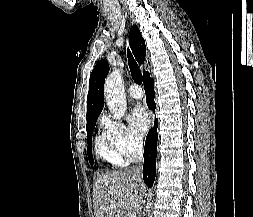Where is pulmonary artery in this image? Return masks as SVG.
<instances>
[{"label":"pulmonary artery","instance_id":"obj_1","mask_svg":"<svg viewBox=\"0 0 253 217\" xmlns=\"http://www.w3.org/2000/svg\"><path fill=\"white\" fill-rule=\"evenodd\" d=\"M128 93L132 98H135V99H140L143 97L142 89L136 84H132L129 86Z\"/></svg>","mask_w":253,"mask_h":217}]
</instances>
